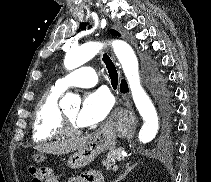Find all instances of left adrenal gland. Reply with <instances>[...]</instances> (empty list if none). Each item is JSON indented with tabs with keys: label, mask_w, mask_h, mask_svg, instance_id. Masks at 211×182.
<instances>
[{
	"label": "left adrenal gland",
	"mask_w": 211,
	"mask_h": 182,
	"mask_svg": "<svg viewBox=\"0 0 211 182\" xmlns=\"http://www.w3.org/2000/svg\"><path fill=\"white\" fill-rule=\"evenodd\" d=\"M136 165H137V163L134 164V165H132V166H130V163H127V164H126V170H125V172H124L122 175H120V176L117 178V180H115V182H119V181H121L122 179H124V178L126 177V175H128V173H129L132 169H134V168L136 167Z\"/></svg>",
	"instance_id": "a2214340"
}]
</instances>
